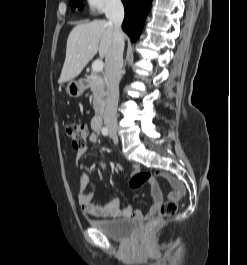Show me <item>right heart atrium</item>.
<instances>
[{
  "label": "right heart atrium",
  "instance_id": "d8ad5b80",
  "mask_svg": "<svg viewBox=\"0 0 247 265\" xmlns=\"http://www.w3.org/2000/svg\"><path fill=\"white\" fill-rule=\"evenodd\" d=\"M87 3L91 10L105 12L115 9L120 0H87Z\"/></svg>",
  "mask_w": 247,
  "mask_h": 265
}]
</instances>
